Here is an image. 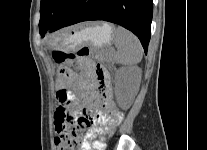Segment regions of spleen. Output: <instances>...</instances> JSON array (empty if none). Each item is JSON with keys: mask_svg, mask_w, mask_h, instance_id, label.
Returning <instances> with one entry per match:
<instances>
[{"mask_svg": "<svg viewBox=\"0 0 207 150\" xmlns=\"http://www.w3.org/2000/svg\"><path fill=\"white\" fill-rule=\"evenodd\" d=\"M116 60L123 65H136L142 60L143 48L138 38L123 27L115 31Z\"/></svg>", "mask_w": 207, "mask_h": 150, "instance_id": "3e777b00", "label": "spleen"}]
</instances>
